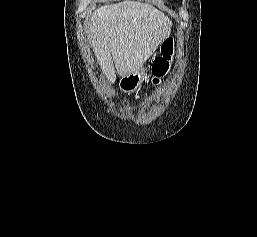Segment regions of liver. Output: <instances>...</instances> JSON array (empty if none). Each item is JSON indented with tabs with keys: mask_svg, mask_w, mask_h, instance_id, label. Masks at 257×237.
I'll list each match as a JSON object with an SVG mask.
<instances>
[{
	"mask_svg": "<svg viewBox=\"0 0 257 237\" xmlns=\"http://www.w3.org/2000/svg\"><path fill=\"white\" fill-rule=\"evenodd\" d=\"M172 22L151 5L125 0L104 5L90 17L91 45L110 83L117 73L140 70L147 59L170 34Z\"/></svg>",
	"mask_w": 257,
	"mask_h": 237,
	"instance_id": "liver-1",
	"label": "liver"
}]
</instances>
